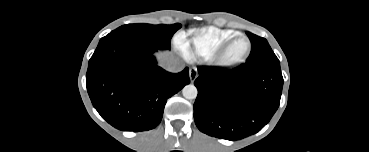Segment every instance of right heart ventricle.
<instances>
[{"label": "right heart ventricle", "instance_id": "obj_1", "mask_svg": "<svg viewBox=\"0 0 369 152\" xmlns=\"http://www.w3.org/2000/svg\"><path fill=\"white\" fill-rule=\"evenodd\" d=\"M237 34V31L231 29L203 27L190 30L179 39V44L189 56L209 60L225 41Z\"/></svg>", "mask_w": 369, "mask_h": 152}]
</instances>
